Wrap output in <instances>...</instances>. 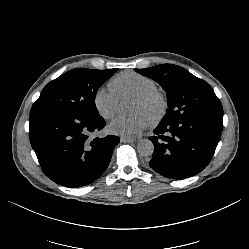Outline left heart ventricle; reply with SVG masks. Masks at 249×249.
Here are the masks:
<instances>
[{
  "mask_svg": "<svg viewBox=\"0 0 249 249\" xmlns=\"http://www.w3.org/2000/svg\"><path fill=\"white\" fill-rule=\"evenodd\" d=\"M156 111H157V106L155 104L145 105L135 99L132 109L133 114H141L148 120L150 117H152L155 114Z\"/></svg>",
  "mask_w": 249,
  "mask_h": 249,
  "instance_id": "1",
  "label": "left heart ventricle"
}]
</instances>
